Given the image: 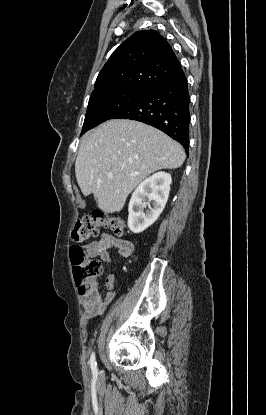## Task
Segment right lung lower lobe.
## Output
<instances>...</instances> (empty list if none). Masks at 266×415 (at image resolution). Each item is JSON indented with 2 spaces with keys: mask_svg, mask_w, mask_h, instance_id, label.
Masks as SVG:
<instances>
[{
  "mask_svg": "<svg viewBox=\"0 0 266 415\" xmlns=\"http://www.w3.org/2000/svg\"><path fill=\"white\" fill-rule=\"evenodd\" d=\"M190 96L183 73L163 81L138 102L119 111L111 119H131L154 126L178 141L188 153Z\"/></svg>",
  "mask_w": 266,
  "mask_h": 415,
  "instance_id": "1",
  "label": "right lung lower lobe"
}]
</instances>
